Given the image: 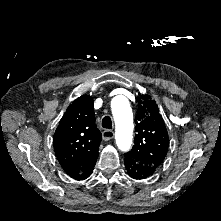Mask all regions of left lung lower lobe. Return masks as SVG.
Listing matches in <instances>:
<instances>
[{"label": "left lung lower lobe", "instance_id": "obj_1", "mask_svg": "<svg viewBox=\"0 0 221 221\" xmlns=\"http://www.w3.org/2000/svg\"><path fill=\"white\" fill-rule=\"evenodd\" d=\"M124 163L128 175L133 179L142 180L153 174L150 170H147L146 168L140 166L137 162H135L127 155H125Z\"/></svg>", "mask_w": 221, "mask_h": 221}]
</instances>
